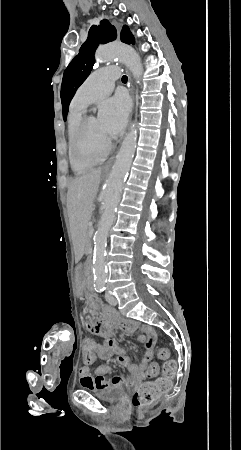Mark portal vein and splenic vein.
Masks as SVG:
<instances>
[{"label": "portal vein and splenic vein", "instance_id": "1", "mask_svg": "<svg viewBox=\"0 0 241 450\" xmlns=\"http://www.w3.org/2000/svg\"><path fill=\"white\" fill-rule=\"evenodd\" d=\"M89 230H90V232H89V233H90V236H93V235H94V234H93V230H94V229H93V228H90Z\"/></svg>", "mask_w": 241, "mask_h": 450}]
</instances>
